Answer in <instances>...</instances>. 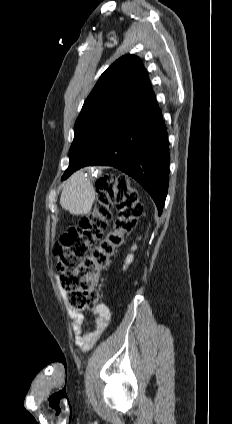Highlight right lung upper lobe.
Masks as SVG:
<instances>
[{"mask_svg":"<svg viewBox=\"0 0 232 424\" xmlns=\"http://www.w3.org/2000/svg\"><path fill=\"white\" fill-rule=\"evenodd\" d=\"M153 97L155 94L140 59L125 55L101 75L85 100L82 111L110 104L133 107Z\"/></svg>","mask_w":232,"mask_h":424,"instance_id":"right-lung-upper-lobe-1","label":"right lung upper lobe"}]
</instances>
